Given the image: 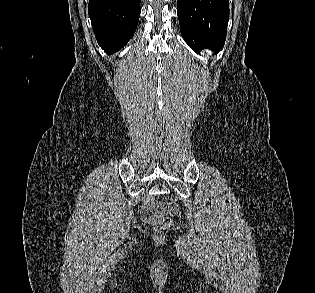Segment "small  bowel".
I'll list each match as a JSON object with an SVG mask.
<instances>
[{
	"mask_svg": "<svg viewBox=\"0 0 315 293\" xmlns=\"http://www.w3.org/2000/svg\"><path fill=\"white\" fill-rule=\"evenodd\" d=\"M143 219L146 220V221H149V220H150L149 214L145 213V214L143 215Z\"/></svg>",
	"mask_w": 315,
	"mask_h": 293,
	"instance_id": "small-bowel-1",
	"label": "small bowel"
}]
</instances>
